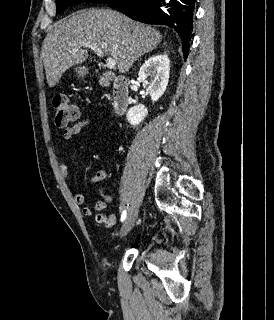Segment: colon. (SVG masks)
Returning <instances> with one entry per match:
<instances>
[{"mask_svg": "<svg viewBox=\"0 0 274 320\" xmlns=\"http://www.w3.org/2000/svg\"><path fill=\"white\" fill-rule=\"evenodd\" d=\"M54 109V122L62 130L66 127H73V120H80V113L76 105L70 103L65 94L60 93L54 96L52 100ZM97 189L103 188L102 182L96 183Z\"/></svg>", "mask_w": 274, "mask_h": 320, "instance_id": "1", "label": "colon"}]
</instances>
